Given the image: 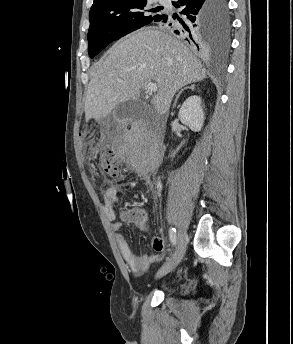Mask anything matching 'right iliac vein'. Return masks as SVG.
I'll return each instance as SVG.
<instances>
[{
    "mask_svg": "<svg viewBox=\"0 0 293 344\" xmlns=\"http://www.w3.org/2000/svg\"><path fill=\"white\" fill-rule=\"evenodd\" d=\"M186 240L187 236L184 232L180 231L178 234V243L174 254L171 258L160 268L157 272L156 277H162L167 273L171 272L182 260L186 251Z\"/></svg>",
    "mask_w": 293,
    "mask_h": 344,
    "instance_id": "right-iliac-vein-1",
    "label": "right iliac vein"
}]
</instances>
